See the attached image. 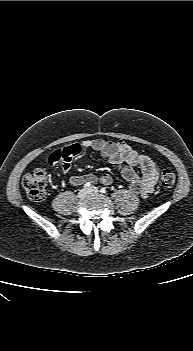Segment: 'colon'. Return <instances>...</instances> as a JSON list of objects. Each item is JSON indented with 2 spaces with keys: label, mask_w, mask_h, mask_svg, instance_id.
I'll use <instances>...</instances> for the list:
<instances>
[{
  "label": "colon",
  "mask_w": 193,
  "mask_h": 351,
  "mask_svg": "<svg viewBox=\"0 0 193 351\" xmlns=\"http://www.w3.org/2000/svg\"><path fill=\"white\" fill-rule=\"evenodd\" d=\"M176 176L170 168H163L160 172V183L170 188L175 184ZM22 186L28 196L35 201H42L46 197L47 175L42 169H35L24 175Z\"/></svg>",
  "instance_id": "5ec220e1"
}]
</instances>
